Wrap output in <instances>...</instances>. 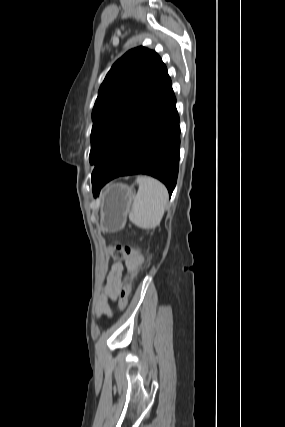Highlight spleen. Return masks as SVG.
I'll return each instance as SVG.
<instances>
[{
    "mask_svg": "<svg viewBox=\"0 0 285 427\" xmlns=\"http://www.w3.org/2000/svg\"><path fill=\"white\" fill-rule=\"evenodd\" d=\"M139 189L133 197L129 220L143 229L157 227L164 215L168 202V191L158 180L148 176H138Z\"/></svg>",
    "mask_w": 285,
    "mask_h": 427,
    "instance_id": "3e777b00",
    "label": "spleen"
}]
</instances>
